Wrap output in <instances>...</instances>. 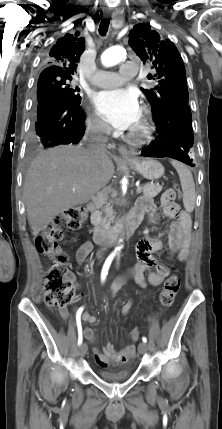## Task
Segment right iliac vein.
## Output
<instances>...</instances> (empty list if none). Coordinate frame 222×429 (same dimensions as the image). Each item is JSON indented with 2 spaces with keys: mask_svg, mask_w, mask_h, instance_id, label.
<instances>
[{
  "mask_svg": "<svg viewBox=\"0 0 222 429\" xmlns=\"http://www.w3.org/2000/svg\"><path fill=\"white\" fill-rule=\"evenodd\" d=\"M87 352V345L85 343H82L79 347L78 353L81 357L85 356Z\"/></svg>",
  "mask_w": 222,
  "mask_h": 429,
  "instance_id": "63e3f726",
  "label": "right iliac vein"
}]
</instances>
